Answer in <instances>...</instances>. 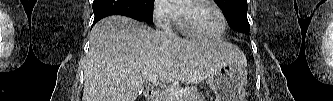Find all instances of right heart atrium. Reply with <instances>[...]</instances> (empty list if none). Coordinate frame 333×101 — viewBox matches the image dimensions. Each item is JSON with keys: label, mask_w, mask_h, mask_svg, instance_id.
Listing matches in <instances>:
<instances>
[{"label": "right heart atrium", "mask_w": 333, "mask_h": 101, "mask_svg": "<svg viewBox=\"0 0 333 101\" xmlns=\"http://www.w3.org/2000/svg\"><path fill=\"white\" fill-rule=\"evenodd\" d=\"M152 14L158 26L166 27L177 18L178 10L170 0H155Z\"/></svg>", "instance_id": "1"}]
</instances>
